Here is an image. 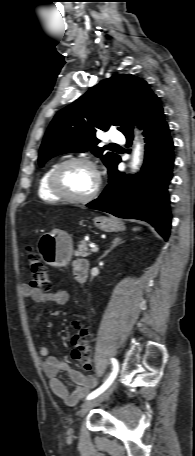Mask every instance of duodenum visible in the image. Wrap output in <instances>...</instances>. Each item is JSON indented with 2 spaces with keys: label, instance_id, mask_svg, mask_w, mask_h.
<instances>
[{
  "label": "duodenum",
  "instance_id": "410a0bca",
  "mask_svg": "<svg viewBox=\"0 0 195 456\" xmlns=\"http://www.w3.org/2000/svg\"><path fill=\"white\" fill-rule=\"evenodd\" d=\"M88 262H83L77 269L76 278L79 282H85L88 277Z\"/></svg>",
  "mask_w": 195,
  "mask_h": 456
}]
</instances>
